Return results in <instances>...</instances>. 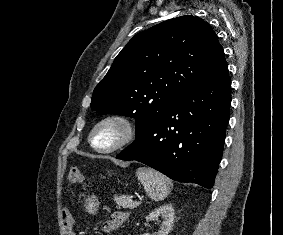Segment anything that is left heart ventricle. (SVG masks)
I'll return each mask as SVG.
<instances>
[{
    "instance_id": "b2bd125f",
    "label": "left heart ventricle",
    "mask_w": 283,
    "mask_h": 235,
    "mask_svg": "<svg viewBox=\"0 0 283 235\" xmlns=\"http://www.w3.org/2000/svg\"><path fill=\"white\" fill-rule=\"evenodd\" d=\"M120 127L116 124H107L103 126L95 136V142L101 147H107L113 144L120 136Z\"/></svg>"
}]
</instances>
